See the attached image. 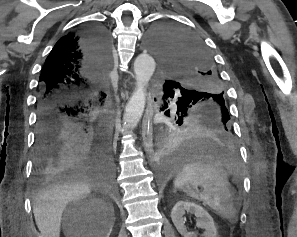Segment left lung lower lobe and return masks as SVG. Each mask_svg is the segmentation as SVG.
I'll return each instance as SVG.
<instances>
[{
  "label": "left lung lower lobe",
  "instance_id": "left-lung-lower-lobe-1",
  "mask_svg": "<svg viewBox=\"0 0 297 237\" xmlns=\"http://www.w3.org/2000/svg\"><path fill=\"white\" fill-rule=\"evenodd\" d=\"M170 88L172 86L166 84L163 99L174 96ZM187 108L179 96L177 114L181 117L178 123L179 119H187L179 123L184 126L165 142L161 166L174 168L197 159L230 156L235 150V138L231 126H227V117L204 109L190 111Z\"/></svg>",
  "mask_w": 297,
  "mask_h": 237
}]
</instances>
